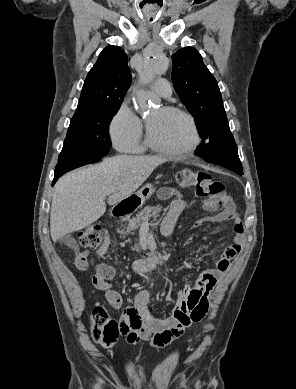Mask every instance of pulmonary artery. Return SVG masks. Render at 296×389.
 Here are the masks:
<instances>
[{
    "instance_id": "obj_1",
    "label": "pulmonary artery",
    "mask_w": 296,
    "mask_h": 389,
    "mask_svg": "<svg viewBox=\"0 0 296 389\" xmlns=\"http://www.w3.org/2000/svg\"><path fill=\"white\" fill-rule=\"evenodd\" d=\"M152 89L155 93L162 97H169L172 93L171 85L170 83L163 78L157 79L153 86Z\"/></svg>"
}]
</instances>
